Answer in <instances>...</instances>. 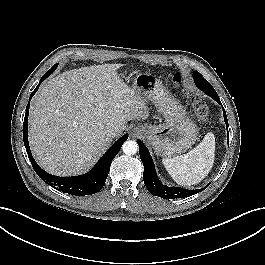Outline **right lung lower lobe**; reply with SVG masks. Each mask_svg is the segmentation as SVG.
Segmentation results:
<instances>
[{"mask_svg":"<svg viewBox=\"0 0 265 265\" xmlns=\"http://www.w3.org/2000/svg\"><path fill=\"white\" fill-rule=\"evenodd\" d=\"M57 64L54 65L40 80L38 86L31 93L29 102L32 99L33 95L37 92L39 85L42 81H44L48 76L52 74V72L56 69ZM29 106L28 103L26 107V113L23 123V140L24 145L29 157V160L33 166V169L37 173V175L43 179L44 181L49 182L51 185L57 187L60 191L64 193H69L76 196H83L88 194H94L102 189L105 184L106 178L110 171V165L114 157L120 151L123 143L127 140L128 134L122 136L119 140H117L109 150L100 158L97 164L86 174L80 176H72V177H58L51 175L41 169L33 156L31 155V151L28 143V134H27V123H28V114H29Z\"/></svg>","mask_w":265,"mask_h":265,"instance_id":"right-lung-lower-lobe-1","label":"right lung lower lobe"}]
</instances>
